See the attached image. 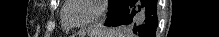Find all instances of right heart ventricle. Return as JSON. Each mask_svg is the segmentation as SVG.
<instances>
[{"instance_id":"obj_1","label":"right heart ventricle","mask_w":219,"mask_h":37,"mask_svg":"<svg viewBox=\"0 0 219 37\" xmlns=\"http://www.w3.org/2000/svg\"><path fill=\"white\" fill-rule=\"evenodd\" d=\"M63 26H64V29L65 30H69L71 27H69L66 23H65V21H63Z\"/></svg>"}]
</instances>
